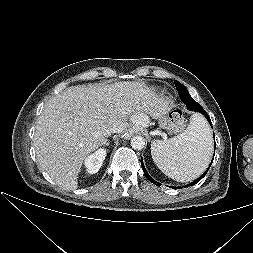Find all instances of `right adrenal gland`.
<instances>
[{
	"instance_id": "obj_1",
	"label": "right adrenal gland",
	"mask_w": 253,
	"mask_h": 253,
	"mask_svg": "<svg viewBox=\"0 0 253 253\" xmlns=\"http://www.w3.org/2000/svg\"><path fill=\"white\" fill-rule=\"evenodd\" d=\"M108 137V136H107ZM103 146H108L109 145V142H108V139L106 138L102 144Z\"/></svg>"
}]
</instances>
